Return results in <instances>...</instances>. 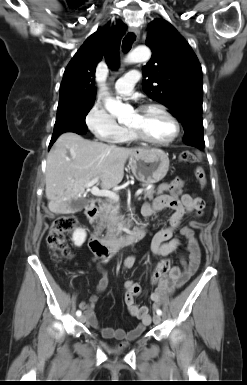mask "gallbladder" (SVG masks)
Masks as SVG:
<instances>
[{"mask_svg": "<svg viewBox=\"0 0 247 385\" xmlns=\"http://www.w3.org/2000/svg\"><path fill=\"white\" fill-rule=\"evenodd\" d=\"M89 201L81 198L78 200H72L71 203L69 204V210L70 212H77L83 209L86 205H88Z\"/></svg>", "mask_w": 247, "mask_h": 385, "instance_id": "1", "label": "gallbladder"}]
</instances>
